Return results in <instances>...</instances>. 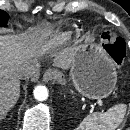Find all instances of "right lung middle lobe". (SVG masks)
<instances>
[{
    "mask_svg": "<svg viewBox=\"0 0 130 130\" xmlns=\"http://www.w3.org/2000/svg\"><path fill=\"white\" fill-rule=\"evenodd\" d=\"M9 15L0 10V27H6L7 26V21H8Z\"/></svg>",
    "mask_w": 130,
    "mask_h": 130,
    "instance_id": "1",
    "label": "right lung middle lobe"
}]
</instances>
